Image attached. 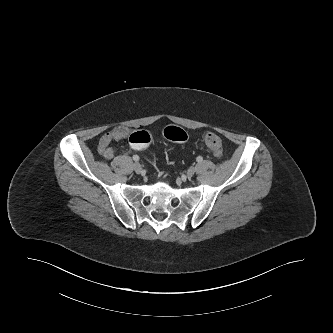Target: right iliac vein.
Returning a JSON list of instances; mask_svg holds the SVG:
<instances>
[{
    "label": "right iliac vein",
    "instance_id": "right-iliac-vein-1",
    "mask_svg": "<svg viewBox=\"0 0 333 333\" xmlns=\"http://www.w3.org/2000/svg\"><path fill=\"white\" fill-rule=\"evenodd\" d=\"M133 167H134V170H135L136 173H140L142 171V167H141V165L138 162H136L133 165Z\"/></svg>",
    "mask_w": 333,
    "mask_h": 333
}]
</instances>
